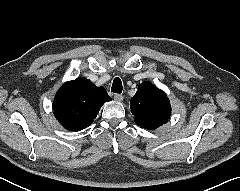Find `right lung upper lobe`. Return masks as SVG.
Masks as SVG:
<instances>
[{
  "label": "right lung upper lobe",
  "instance_id": "1",
  "mask_svg": "<svg viewBox=\"0 0 240 191\" xmlns=\"http://www.w3.org/2000/svg\"><path fill=\"white\" fill-rule=\"evenodd\" d=\"M111 101L104 87H96L86 78L66 82L56 93L53 111L67 130L80 131L91 125L101 106Z\"/></svg>",
  "mask_w": 240,
  "mask_h": 191
}]
</instances>
